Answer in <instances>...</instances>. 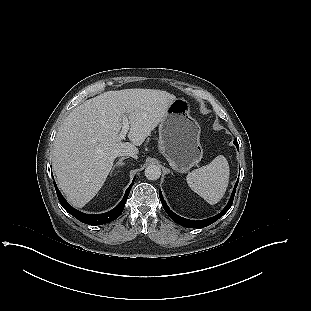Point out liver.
I'll return each instance as SVG.
<instances>
[{"instance_id": "obj_1", "label": "liver", "mask_w": 311, "mask_h": 311, "mask_svg": "<svg viewBox=\"0 0 311 311\" xmlns=\"http://www.w3.org/2000/svg\"><path fill=\"white\" fill-rule=\"evenodd\" d=\"M176 99L155 89L107 91L75 107L59 128L52 166L67 200L83 207L104 185L113 162L124 153L138 154L140 146ZM123 117L128 138L119 140Z\"/></svg>"}]
</instances>
